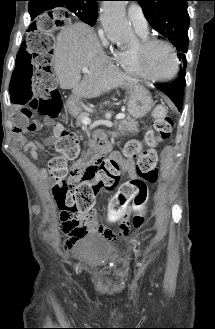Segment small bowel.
Listing matches in <instances>:
<instances>
[{"label": "small bowel", "mask_w": 215, "mask_h": 329, "mask_svg": "<svg viewBox=\"0 0 215 329\" xmlns=\"http://www.w3.org/2000/svg\"><path fill=\"white\" fill-rule=\"evenodd\" d=\"M15 132L18 136V145L33 159L38 160L43 156L45 147L52 146L55 138H43L37 142L27 141L22 134L26 130L17 127ZM95 141L91 140L88 145V150L92 151L95 148ZM87 155L79 159L72 167L74 169H82L86 165ZM124 171L128 174L126 182H121L120 187H117V194L111 198V201L104 208V215H109V222L114 227L119 225L117 233L104 227L99 223L97 212H91L85 216H75L67 219H62V230L67 234L68 238L65 241V248H73L76 241L84 237L87 233H98L111 239H122L129 233V214L131 218H148L149 212L146 199H149L151 188L148 187V182H143V178H136V169L133 160H127L123 164ZM73 180L72 177L69 178ZM133 208V211H131Z\"/></svg>", "instance_id": "obj_1"}]
</instances>
